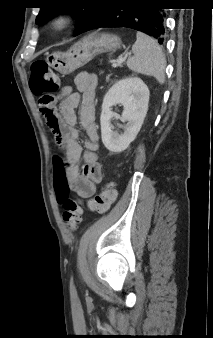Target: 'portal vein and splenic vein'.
Segmentation results:
<instances>
[{"label":"portal vein and splenic vein","mask_w":213,"mask_h":338,"mask_svg":"<svg viewBox=\"0 0 213 338\" xmlns=\"http://www.w3.org/2000/svg\"><path fill=\"white\" fill-rule=\"evenodd\" d=\"M126 59H127V55L125 57H122L119 60H117V62L113 63L112 66L113 67L120 66Z\"/></svg>","instance_id":"portal-vein-and-splenic-vein-1"}]
</instances>
